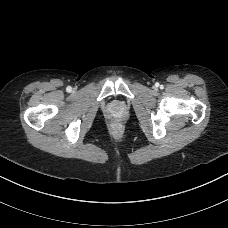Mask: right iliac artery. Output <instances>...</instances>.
I'll list each match as a JSON object with an SVG mask.
<instances>
[{
	"mask_svg": "<svg viewBox=\"0 0 228 228\" xmlns=\"http://www.w3.org/2000/svg\"><path fill=\"white\" fill-rule=\"evenodd\" d=\"M66 90H67V92H71L72 88H71L70 86H68V87L66 88Z\"/></svg>",
	"mask_w": 228,
	"mask_h": 228,
	"instance_id": "right-iliac-artery-1",
	"label": "right iliac artery"
}]
</instances>
